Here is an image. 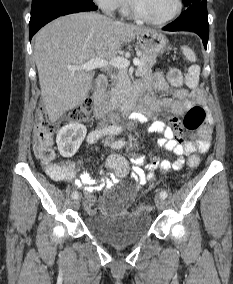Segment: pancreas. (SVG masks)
I'll use <instances>...</instances> for the list:
<instances>
[{
    "mask_svg": "<svg viewBox=\"0 0 233 284\" xmlns=\"http://www.w3.org/2000/svg\"><path fill=\"white\" fill-rule=\"evenodd\" d=\"M141 63L138 66L139 74H146L152 71L156 58L145 53L140 57ZM131 82L125 69H121L117 75V83L108 93V99L113 106H120L129 100Z\"/></svg>",
    "mask_w": 233,
    "mask_h": 284,
    "instance_id": "obj_1",
    "label": "pancreas"
}]
</instances>
